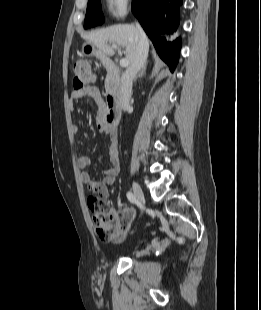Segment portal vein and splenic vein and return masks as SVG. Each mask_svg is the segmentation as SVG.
Masks as SVG:
<instances>
[{
	"instance_id": "18ae733b",
	"label": "portal vein and splenic vein",
	"mask_w": 261,
	"mask_h": 310,
	"mask_svg": "<svg viewBox=\"0 0 261 310\" xmlns=\"http://www.w3.org/2000/svg\"><path fill=\"white\" fill-rule=\"evenodd\" d=\"M111 47H112L113 49H115V50H118V54H119L120 56H122V52H121V50L118 48V46H117L116 44H112ZM120 65H121L122 67H127V66L129 65V61H128L127 59L122 58V59H120Z\"/></svg>"
}]
</instances>
